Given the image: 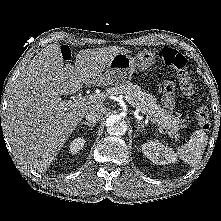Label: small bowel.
Instances as JSON below:
<instances>
[{
    "mask_svg": "<svg viewBox=\"0 0 221 221\" xmlns=\"http://www.w3.org/2000/svg\"><path fill=\"white\" fill-rule=\"evenodd\" d=\"M174 103V94L173 90L169 92H164L162 97V104L165 108L170 109L172 108Z\"/></svg>",
    "mask_w": 221,
    "mask_h": 221,
    "instance_id": "obj_1",
    "label": "small bowel"
}]
</instances>
